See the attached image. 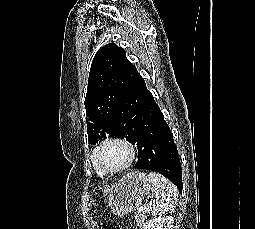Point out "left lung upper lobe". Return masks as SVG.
<instances>
[{
	"label": "left lung upper lobe",
	"mask_w": 255,
	"mask_h": 229,
	"mask_svg": "<svg viewBox=\"0 0 255 229\" xmlns=\"http://www.w3.org/2000/svg\"><path fill=\"white\" fill-rule=\"evenodd\" d=\"M137 73L126 52L114 43L101 47L92 62L85 98L88 141L95 144L106 136L126 138L125 123L118 119L123 101Z\"/></svg>",
	"instance_id": "1"
}]
</instances>
